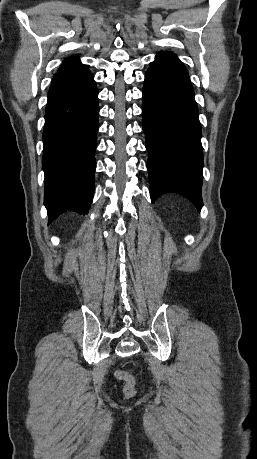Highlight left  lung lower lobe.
<instances>
[{
    "instance_id": "obj_1",
    "label": "left lung lower lobe",
    "mask_w": 257,
    "mask_h": 459,
    "mask_svg": "<svg viewBox=\"0 0 257 459\" xmlns=\"http://www.w3.org/2000/svg\"><path fill=\"white\" fill-rule=\"evenodd\" d=\"M142 115L152 202L165 193H177L200 211L203 153L199 112L188 72L174 54L159 53L147 70Z\"/></svg>"
}]
</instances>
